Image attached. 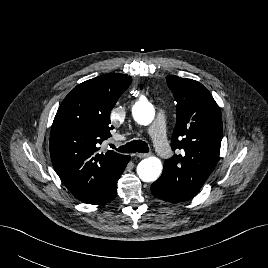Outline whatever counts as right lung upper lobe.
I'll return each mask as SVG.
<instances>
[{
    "mask_svg": "<svg viewBox=\"0 0 268 268\" xmlns=\"http://www.w3.org/2000/svg\"><path fill=\"white\" fill-rule=\"evenodd\" d=\"M132 81L127 74H105L76 86L53 121L50 155L68 190L81 202L94 203L110 185L128 156L99 153L111 137L110 112Z\"/></svg>",
    "mask_w": 268,
    "mask_h": 268,
    "instance_id": "obj_1",
    "label": "right lung upper lobe"
}]
</instances>
